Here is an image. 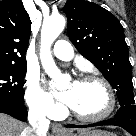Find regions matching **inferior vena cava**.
<instances>
[{"label":"inferior vena cava","instance_id":"1","mask_svg":"<svg viewBox=\"0 0 136 136\" xmlns=\"http://www.w3.org/2000/svg\"><path fill=\"white\" fill-rule=\"evenodd\" d=\"M45 116V111L37 108H30L28 120L32 126L33 136H46L50 122Z\"/></svg>","mask_w":136,"mask_h":136}]
</instances>
